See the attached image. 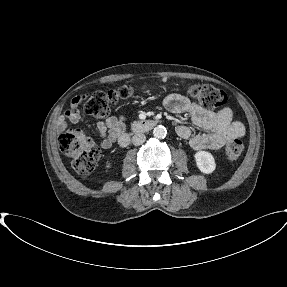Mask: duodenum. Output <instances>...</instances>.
Wrapping results in <instances>:
<instances>
[{
	"label": "duodenum",
	"mask_w": 287,
	"mask_h": 287,
	"mask_svg": "<svg viewBox=\"0 0 287 287\" xmlns=\"http://www.w3.org/2000/svg\"><path fill=\"white\" fill-rule=\"evenodd\" d=\"M157 123L156 119L139 120L132 123L128 132H123L119 138V145L125 147L130 142V134H139L150 131Z\"/></svg>",
	"instance_id": "duodenum-1"
}]
</instances>
